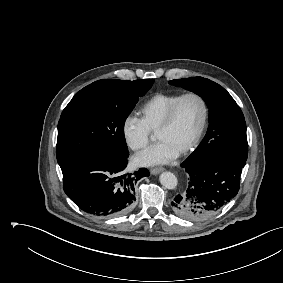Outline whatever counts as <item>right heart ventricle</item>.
<instances>
[{"instance_id": "1", "label": "right heart ventricle", "mask_w": 283, "mask_h": 283, "mask_svg": "<svg viewBox=\"0 0 283 283\" xmlns=\"http://www.w3.org/2000/svg\"><path fill=\"white\" fill-rule=\"evenodd\" d=\"M181 95L180 93H158L141 106V119L150 131H157L168 110Z\"/></svg>"}]
</instances>
